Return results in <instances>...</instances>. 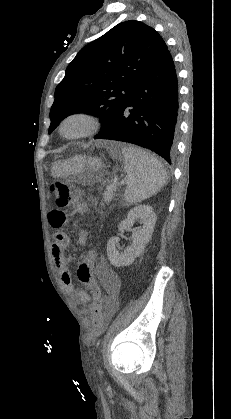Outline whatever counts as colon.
Returning a JSON list of instances; mask_svg holds the SVG:
<instances>
[{
	"instance_id": "obj_1",
	"label": "colon",
	"mask_w": 231,
	"mask_h": 419,
	"mask_svg": "<svg viewBox=\"0 0 231 419\" xmlns=\"http://www.w3.org/2000/svg\"><path fill=\"white\" fill-rule=\"evenodd\" d=\"M50 191L55 197L56 204L59 207H72L73 211L82 214L84 206L78 201L74 192L62 182H53L50 185ZM60 223H57V226ZM89 253H83L80 263L77 264L75 279L82 282V286L90 293L87 302L91 303V316L93 319L92 336H99L104 330L103 313H102V297L103 292L99 290V285L95 282V274L91 273L92 264L95 261L97 251L89 246Z\"/></svg>"
}]
</instances>
